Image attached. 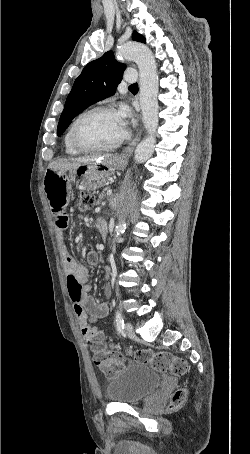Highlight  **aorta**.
I'll use <instances>...</instances> for the list:
<instances>
[{"label":"aorta","instance_id":"obj_1","mask_svg":"<svg viewBox=\"0 0 250 454\" xmlns=\"http://www.w3.org/2000/svg\"><path fill=\"white\" fill-rule=\"evenodd\" d=\"M119 58L133 60L139 68L140 107L142 120L147 131V137L136 147L134 159L136 163H144L153 154L156 144V131L158 128V74L157 66L152 51L142 43L127 42L118 50ZM126 229V222L121 219L115 228V239L119 238Z\"/></svg>","mask_w":250,"mask_h":454}]
</instances>
